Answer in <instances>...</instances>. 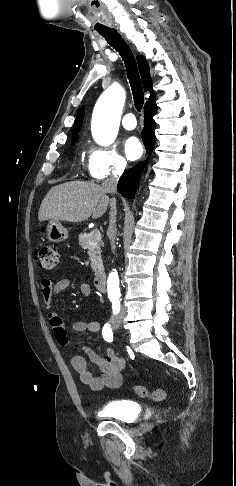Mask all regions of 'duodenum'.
Instances as JSON below:
<instances>
[{
    "mask_svg": "<svg viewBox=\"0 0 236 486\" xmlns=\"http://www.w3.org/2000/svg\"><path fill=\"white\" fill-rule=\"evenodd\" d=\"M94 286L100 292H104L106 290V276L104 273H98L95 276Z\"/></svg>",
    "mask_w": 236,
    "mask_h": 486,
    "instance_id": "410a0bca",
    "label": "duodenum"
}]
</instances>
